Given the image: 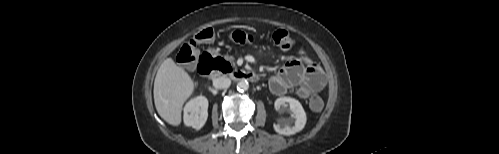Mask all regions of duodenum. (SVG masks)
Wrapping results in <instances>:
<instances>
[{
	"label": "duodenum",
	"mask_w": 499,
	"mask_h": 154,
	"mask_svg": "<svg viewBox=\"0 0 499 154\" xmlns=\"http://www.w3.org/2000/svg\"><path fill=\"white\" fill-rule=\"evenodd\" d=\"M199 71L201 74L206 75L208 77H218V72L215 71L214 68L208 66L205 67L203 64L200 66ZM226 76L234 81H251L258 82L260 80V76L258 73L249 70H232L230 69L228 72H225Z\"/></svg>",
	"instance_id": "duodenum-1"
}]
</instances>
